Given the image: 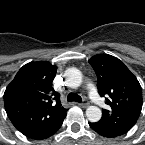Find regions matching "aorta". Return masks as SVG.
Wrapping results in <instances>:
<instances>
[{"label":"aorta","instance_id":"1","mask_svg":"<svg viewBox=\"0 0 145 145\" xmlns=\"http://www.w3.org/2000/svg\"><path fill=\"white\" fill-rule=\"evenodd\" d=\"M65 82L68 87L77 88L82 83V73L77 68H69L65 71ZM86 116L90 122H97L101 119L102 111L97 106H89L86 109Z\"/></svg>","mask_w":145,"mask_h":145}]
</instances>
